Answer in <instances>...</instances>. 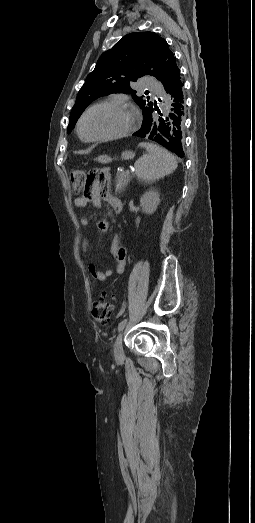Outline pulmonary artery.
I'll list each match as a JSON object with an SVG mask.
<instances>
[{"label": "pulmonary artery", "instance_id": "obj_1", "mask_svg": "<svg viewBox=\"0 0 255 523\" xmlns=\"http://www.w3.org/2000/svg\"><path fill=\"white\" fill-rule=\"evenodd\" d=\"M143 88L145 91L150 92L151 91V98L153 100H161L163 98V95L161 94V88L162 85L158 78L156 77H144L143 81ZM156 105H159V102H156Z\"/></svg>", "mask_w": 255, "mask_h": 523}]
</instances>
